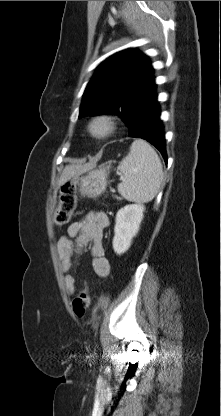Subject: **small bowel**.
I'll return each instance as SVG.
<instances>
[{"mask_svg":"<svg viewBox=\"0 0 221 416\" xmlns=\"http://www.w3.org/2000/svg\"><path fill=\"white\" fill-rule=\"evenodd\" d=\"M109 225L108 215L104 212H93L85 217L72 222L58 241V256L62 269L67 272L71 266L72 241L75 239L79 247L90 244L91 266L100 277H106L110 272L109 261L106 258L103 247V233ZM67 291L72 294L75 291V279L67 275L64 279Z\"/></svg>","mask_w":221,"mask_h":416,"instance_id":"obj_1","label":"small bowel"}]
</instances>
